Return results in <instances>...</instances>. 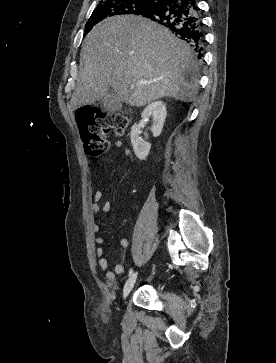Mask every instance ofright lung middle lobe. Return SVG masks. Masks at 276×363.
I'll use <instances>...</instances> for the list:
<instances>
[{
    "mask_svg": "<svg viewBox=\"0 0 276 363\" xmlns=\"http://www.w3.org/2000/svg\"><path fill=\"white\" fill-rule=\"evenodd\" d=\"M152 0H101L85 25L84 36L105 18L118 15H141L154 5Z\"/></svg>",
    "mask_w": 276,
    "mask_h": 363,
    "instance_id": "right-lung-middle-lobe-1",
    "label": "right lung middle lobe"
}]
</instances>
